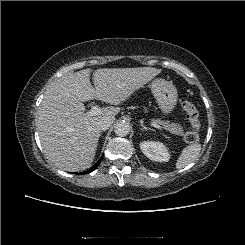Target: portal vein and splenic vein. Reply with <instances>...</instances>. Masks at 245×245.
Segmentation results:
<instances>
[{
	"mask_svg": "<svg viewBox=\"0 0 245 245\" xmlns=\"http://www.w3.org/2000/svg\"><path fill=\"white\" fill-rule=\"evenodd\" d=\"M102 113V109L98 106H92L91 110L86 113V117H92V116H97ZM151 125L157 129H162V127L154 122L151 123Z\"/></svg>",
	"mask_w": 245,
	"mask_h": 245,
	"instance_id": "1",
	"label": "portal vein and splenic vein"
}]
</instances>
